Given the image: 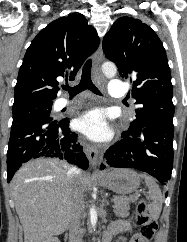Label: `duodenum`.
Segmentation results:
<instances>
[{
	"mask_svg": "<svg viewBox=\"0 0 187 242\" xmlns=\"http://www.w3.org/2000/svg\"><path fill=\"white\" fill-rule=\"evenodd\" d=\"M111 236L105 235L104 236V242H110Z\"/></svg>",
	"mask_w": 187,
	"mask_h": 242,
	"instance_id": "obj_1",
	"label": "duodenum"
}]
</instances>
